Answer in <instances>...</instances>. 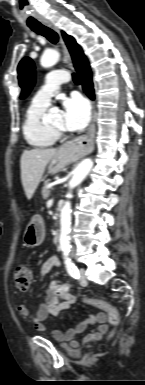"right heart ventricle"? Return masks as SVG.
I'll use <instances>...</instances> for the list:
<instances>
[{
  "label": "right heart ventricle",
  "instance_id": "e07e8e85",
  "mask_svg": "<svg viewBox=\"0 0 145 385\" xmlns=\"http://www.w3.org/2000/svg\"><path fill=\"white\" fill-rule=\"evenodd\" d=\"M47 107V105L31 102L25 112L22 133L26 142L34 148L50 147L58 139L45 122Z\"/></svg>",
  "mask_w": 145,
  "mask_h": 385
}]
</instances>
